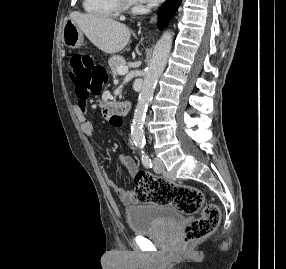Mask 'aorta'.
I'll return each instance as SVG.
<instances>
[{
	"label": "aorta",
	"instance_id": "obj_1",
	"mask_svg": "<svg viewBox=\"0 0 286 269\" xmlns=\"http://www.w3.org/2000/svg\"><path fill=\"white\" fill-rule=\"evenodd\" d=\"M173 33L166 31L157 41L152 59L145 72L144 82L139 94L138 103L134 111L131 124V138L136 147L143 150L145 146V135L143 125L148 108L152 99L156 83L162 74L172 47Z\"/></svg>",
	"mask_w": 286,
	"mask_h": 269
}]
</instances>
